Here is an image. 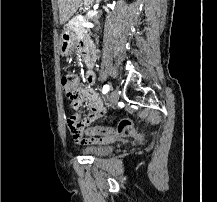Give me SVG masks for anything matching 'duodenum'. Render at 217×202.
I'll return each mask as SVG.
<instances>
[{
	"mask_svg": "<svg viewBox=\"0 0 217 202\" xmlns=\"http://www.w3.org/2000/svg\"><path fill=\"white\" fill-rule=\"evenodd\" d=\"M81 54L82 57L87 65L88 68H92L94 61H95V57L92 53V51L90 50L88 43L83 42L81 44Z\"/></svg>",
	"mask_w": 217,
	"mask_h": 202,
	"instance_id": "1",
	"label": "duodenum"
}]
</instances>
